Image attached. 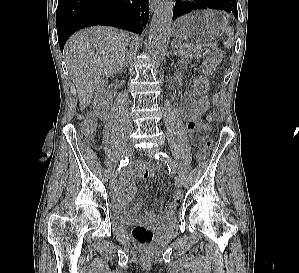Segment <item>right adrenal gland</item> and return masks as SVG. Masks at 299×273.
<instances>
[{
	"label": "right adrenal gland",
	"instance_id": "right-adrenal-gland-1",
	"mask_svg": "<svg viewBox=\"0 0 299 273\" xmlns=\"http://www.w3.org/2000/svg\"><path fill=\"white\" fill-rule=\"evenodd\" d=\"M127 65V60L125 59L124 62H123V65L121 67V71H123L124 67Z\"/></svg>",
	"mask_w": 299,
	"mask_h": 273
}]
</instances>
